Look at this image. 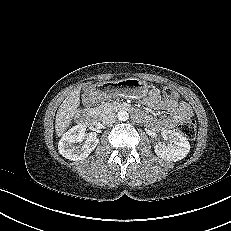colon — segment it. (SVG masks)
I'll return each instance as SVG.
<instances>
[{"label": "colon", "mask_w": 231, "mask_h": 231, "mask_svg": "<svg viewBox=\"0 0 231 231\" xmlns=\"http://www.w3.org/2000/svg\"><path fill=\"white\" fill-rule=\"evenodd\" d=\"M163 94L167 99L177 98L176 91L171 87H165L163 89ZM178 128H179L180 133L187 139H193L196 135V122L192 118L183 120L179 124Z\"/></svg>", "instance_id": "colon-1"}]
</instances>
